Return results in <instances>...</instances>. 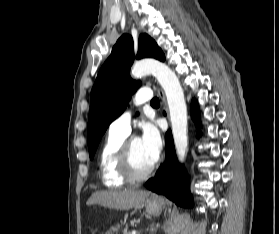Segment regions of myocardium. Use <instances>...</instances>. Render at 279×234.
Here are the masks:
<instances>
[{"mask_svg": "<svg viewBox=\"0 0 279 234\" xmlns=\"http://www.w3.org/2000/svg\"><path fill=\"white\" fill-rule=\"evenodd\" d=\"M136 137L125 138L120 145L118 154V169L120 174L130 182H137L147 178L155 169L158 160H155L146 170L138 171L132 161L131 142Z\"/></svg>", "mask_w": 279, "mask_h": 234, "instance_id": "f54148a6", "label": "myocardium"}]
</instances>
